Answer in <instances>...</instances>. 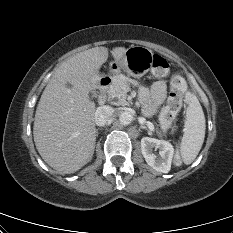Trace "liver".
<instances>
[{
  "label": "liver",
  "instance_id": "liver-1",
  "mask_svg": "<svg viewBox=\"0 0 233 233\" xmlns=\"http://www.w3.org/2000/svg\"><path fill=\"white\" fill-rule=\"evenodd\" d=\"M126 50L116 47L111 53L120 60ZM108 53L106 47H95L70 57L56 69L41 95L34 142L42 159L60 174L74 173L92 159L96 108L88 94L99 87V70Z\"/></svg>",
  "mask_w": 233,
  "mask_h": 233
}]
</instances>
